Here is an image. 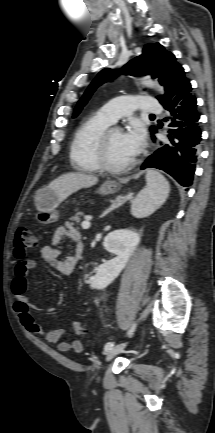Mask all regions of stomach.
<instances>
[{
  "label": "stomach",
  "instance_id": "obj_1",
  "mask_svg": "<svg viewBox=\"0 0 215 433\" xmlns=\"http://www.w3.org/2000/svg\"><path fill=\"white\" fill-rule=\"evenodd\" d=\"M119 185L116 182H105L99 189L98 193L102 195H109L118 192ZM35 204L39 211L37 220L44 225L54 223L59 218L57 206L59 200L56 194L49 187L39 189L35 194Z\"/></svg>",
  "mask_w": 215,
  "mask_h": 433
}]
</instances>
